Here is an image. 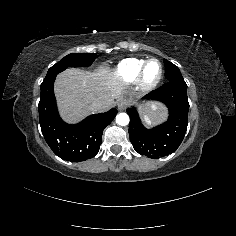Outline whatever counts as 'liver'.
<instances>
[{"label":"liver","mask_w":236,"mask_h":236,"mask_svg":"<svg viewBox=\"0 0 236 236\" xmlns=\"http://www.w3.org/2000/svg\"><path fill=\"white\" fill-rule=\"evenodd\" d=\"M54 91L62 119L68 123H76L90 113L88 105L93 100L103 102L100 111L108 110L114 104V99L121 97L124 87L108 67H100L94 72L68 68L57 75ZM140 109L154 121L166 113L161 112L155 103H148Z\"/></svg>","instance_id":"obj_1"}]
</instances>
